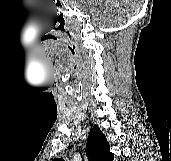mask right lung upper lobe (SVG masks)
<instances>
[{"label": "right lung upper lobe", "mask_w": 171, "mask_h": 161, "mask_svg": "<svg viewBox=\"0 0 171 161\" xmlns=\"http://www.w3.org/2000/svg\"><path fill=\"white\" fill-rule=\"evenodd\" d=\"M105 135L95 125L87 139L86 153L90 161H113L114 154L110 151ZM53 161H64L63 158H56Z\"/></svg>", "instance_id": "right-lung-upper-lobe-1"}]
</instances>
